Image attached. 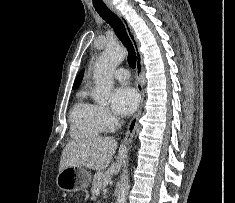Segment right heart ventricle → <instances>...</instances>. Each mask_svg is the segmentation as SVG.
Wrapping results in <instances>:
<instances>
[{"instance_id": "e07e8e85", "label": "right heart ventricle", "mask_w": 235, "mask_h": 203, "mask_svg": "<svg viewBox=\"0 0 235 203\" xmlns=\"http://www.w3.org/2000/svg\"><path fill=\"white\" fill-rule=\"evenodd\" d=\"M86 91L81 90L70 113L71 134L75 138H95L104 131L99 124L94 104L87 101Z\"/></svg>"}]
</instances>
